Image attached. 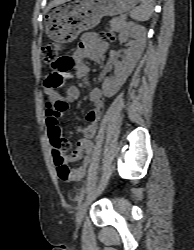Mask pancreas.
Here are the masks:
<instances>
[{"mask_svg": "<svg viewBox=\"0 0 194 250\" xmlns=\"http://www.w3.org/2000/svg\"><path fill=\"white\" fill-rule=\"evenodd\" d=\"M111 31H121L125 25V22L122 18H113L109 21Z\"/></svg>", "mask_w": 194, "mask_h": 250, "instance_id": "pancreas-1", "label": "pancreas"}]
</instances>
